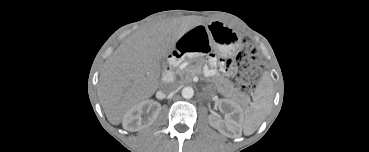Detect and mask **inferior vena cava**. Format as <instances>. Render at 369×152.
<instances>
[{"label":"inferior vena cava","instance_id":"obj_1","mask_svg":"<svg viewBox=\"0 0 369 152\" xmlns=\"http://www.w3.org/2000/svg\"><path fill=\"white\" fill-rule=\"evenodd\" d=\"M177 87L178 85L175 82L166 81L160 87V92L166 95V94L174 92L177 89Z\"/></svg>","mask_w":369,"mask_h":152}]
</instances>
